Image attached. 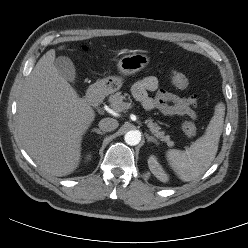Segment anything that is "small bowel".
I'll use <instances>...</instances> for the list:
<instances>
[{"instance_id":"c3829d8e","label":"small bowel","mask_w":248,"mask_h":248,"mask_svg":"<svg viewBox=\"0 0 248 248\" xmlns=\"http://www.w3.org/2000/svg\"><path fill=\"white\" fill-rule=\"evenodd\" d=\"M156 92L150 97L149 92ZM134 97L147 110L157 109L166 116H189L196 118L194 107L197 103L195 96L181 97L163 89H158V80L155 76H145L132 87Z\"/></svg>"}]
</instances>
